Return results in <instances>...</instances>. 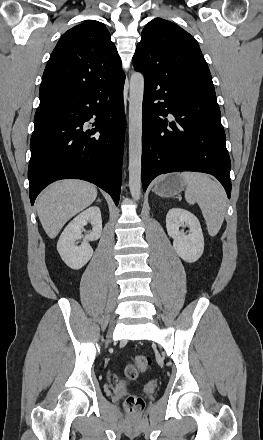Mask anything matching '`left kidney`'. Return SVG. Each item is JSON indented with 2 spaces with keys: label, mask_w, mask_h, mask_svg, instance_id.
<instances>
[{
  "label": "left kidney",
  "mask_w": 263,
  "mask_h": 440,
  "mask_svg": "<svg viewBox=\"0 0 263 440\" xmlns=\"http://www.w3.org/2000/svg\"><path fill=\"white\" fill-rule=\"evenodd\" d=\"M180 226L188 227L186 235L179 230ZM167 233L173 238V248L184 261L193 263L197 261L204 251V237L197 217L191 212L172 208L166 215Z\"/></svg>",
  "instance_id": "obj_1"
}]
</instances>
